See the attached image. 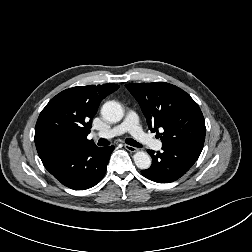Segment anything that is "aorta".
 <instances>
[{
	"mask_svg": "<svg viewBox=\"0 0 252 252\" xmlns=\"http://www.w3.org/2000/svg\"><path fill=\"white\" fill-rule=\"evenodd\" d=\"M101 115L106 121L116 123L123 118V108L116 101H107L101 108ZM133 159L140 169H148L151 166V157L144 151L136 152Z\"/></svg>",
	"mask_w": 252,
	"mask_h": 252,
	"instance_id": "aorta-1",
	"label": "aorta"
}]
</instances>
